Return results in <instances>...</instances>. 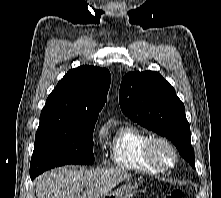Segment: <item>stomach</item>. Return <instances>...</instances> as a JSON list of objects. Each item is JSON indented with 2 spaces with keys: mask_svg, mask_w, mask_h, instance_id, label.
Masks as SVG:
<instances>
[{
  "mask_svg": "<svg viewBox=\"0 0 221 198\" xmlns=\"http://www.w3.org/2000/svg\"><path fill=\"white\" fill-rule=\"evenodd\" d=\"M136 191H138V185L126 181L115 191L108 193L103 198H129V196L133 195Z\"/></svg>",
  "mask_w": 221,
  "mask_h": 198,
  "instance_id": "0dacf381",
  "label": "stomach"
}]
</instances>
